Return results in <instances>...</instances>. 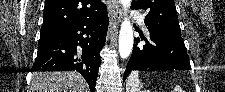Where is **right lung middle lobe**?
<instances>
[{
  "instance_id": "1",
  "label": "right lung middle lobe",
  "mask_w": 225,
  "mask_h": 92,
  "mask_svg": "<svg viewBox=\"0 0 225 92\" xmlns=\"http://www.w3.org/2000/svg\"><path fill=\"white\" fill-rule=\"evenodd\" d=\"M40 39L61 34L62 30H40Z\"/></svg>"
}]
</instances>
